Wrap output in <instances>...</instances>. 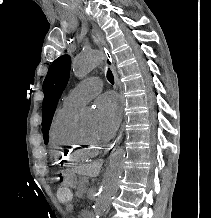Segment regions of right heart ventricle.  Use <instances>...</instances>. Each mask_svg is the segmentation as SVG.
Segmentation results:
<instances>
[{"mask_svg":"<svg viewBox=\"0 0 211 218\" xmlns=\"http://www.w3.org/2000/svg\"><path fill=\"white\" fill-rule=\"evenodd\" d=\"M78 109L62 106L56 113L51 127L55 165L60 169H70V165H81L101 151L86 147L80 139L79 130L75 125Z\"/></svg>","mask_w":211,"mask_h":218,"instance_id":"right-heart-ventricle-1","label":"right heart ventricle"}]
</instances>
